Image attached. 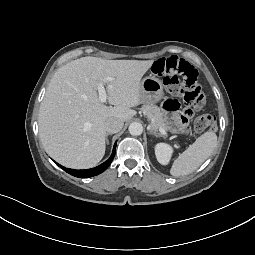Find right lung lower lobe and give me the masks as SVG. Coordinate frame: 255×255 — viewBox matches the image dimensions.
<instances>
[{
    "label": "right lung lower lobe",
    "instance_id": "1",
    "mask_svg": "<svg viewBox=\"0 0 255 255\" xmlns=\"http://www.w3.org/2000/svg\"><path fill=\"white\" fill-rule=\"evenodd\" d=\"M115 151H116V143L114 145L113 148V152L111 157L105 161L104 163H102L101 165L95 167V168H91V169H87V170H74V169H69V168H65L61 165H59L58 163H56L59 167H61L63 170H65L67 173L75 176V177H79V178H88V177H93L96 176L102 172H104L108 166L111 164V162L113 161V158L115 156Z\"/></svg>",
    "mask_w": 255,
    "mask_h": 255
}]
</instances>
